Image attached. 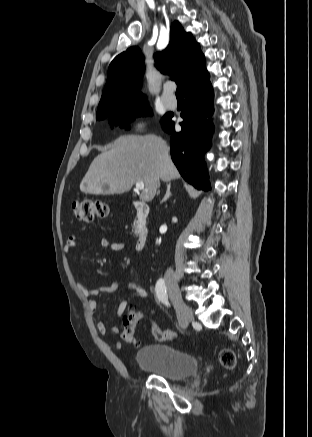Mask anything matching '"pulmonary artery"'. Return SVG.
I'll return each instance as SVG.
<instances>
[{
	"label": "pulmonary artery",
	"mask_w": 312,
	"mask_h": 437,
	"mask_svg": "<svg viewBox=\"0 0 312 437\" xmlns=\"http://www.w3.org/2000/svg\"><path fill=\"white\" fill-rule=\"evenodd\" d=\"M161 99L165 107L168 109H174L177 105L176 97L172 94V89L170 87V84H166L163 87L162 93H161Z\"/></svg>",
	"instance_id": "1"
}]
</instances>
